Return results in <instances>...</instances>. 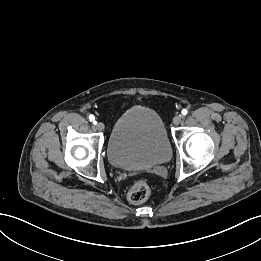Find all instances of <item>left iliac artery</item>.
I'll use <instances>...</instances> for the list:
<instances>
[{
    "label": "left iliac artery",
    "instance_id": "obj_1",
    "mask_svg": "<svg viewBox=\"0 0 261 261\" xmlns=\"http://www.w3.org/2000/svg\"><path fill=\"white\" fill-rule=\"evenodd\" d=\"M181 113H182V115H186V114L188 113V111H187L186 109H183V110L181 111Z\"/></svg>",
    "mask_w": 261,
    "mask_h": 261
}]
</instances>
